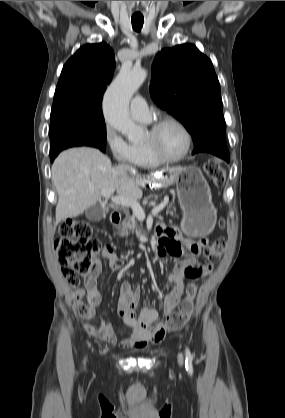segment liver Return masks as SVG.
<instances>
[{
  "label": "liver",
  "instance_id": "1",
  "mask_svg": "<svg viewBox=\"0 0 285 418\" xmlns=\"http://www.w3.org/2000/svg\"><path fill=\"white\" fill-rule=\"evenodd\" d=\"M181 167L162 172H178ZM138 175L126 165L112 167L111 160L94 148L79 147L63 151L52 165V182L58 192L56 224L81 215L100 199L102 190H116L118 196L138 200L142 186L154 183L167 187L175 183L173 175Z\"/></svg>",
  "mask_w": 285,
  "mask_h": 418
}]
</instances>
